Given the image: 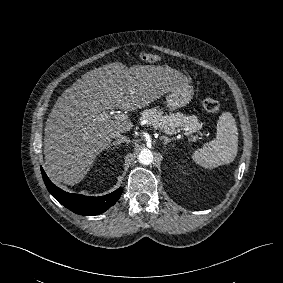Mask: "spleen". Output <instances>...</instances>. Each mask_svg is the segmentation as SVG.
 <instances>
[{"mask_svg": "<svg viewBox=\"0 0 283 283\" xmlns=\"http://www.w3.org/2000/svg\"><path fill=\"white\" fill-rule=\"evenodd\" d=\"M216 138L193 152L197 165L215 168L233 162L238 151V129L230 112H223L217 122Z\"/></svg>", "mask_w": 283, "mask_h": 283, "instance_id": "spleen-1", "label": "spleen"}]
</instances>
